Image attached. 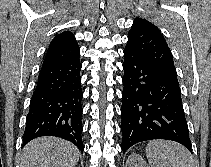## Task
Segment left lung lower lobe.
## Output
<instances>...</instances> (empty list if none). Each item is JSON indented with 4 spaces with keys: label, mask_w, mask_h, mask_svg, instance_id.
<instances>
[{
    "label": "left lung lower lobe",
    "mask_w": 211,
    "mask_h": 167,
    "mask_svg": "<svg viewBox=\"0 0 211 167\" xmlns=\"http://www.w3.org/2000/svg\"><path fill=\"white\" fill-rule=\"evenodd\" d=\"M122 151L146 140L167 139L191 151L179 84L144 59L124 52Z\"/></svg>",
    "instance_id": "obj_1"
}]
</instances>
